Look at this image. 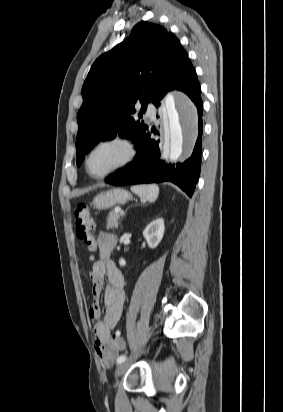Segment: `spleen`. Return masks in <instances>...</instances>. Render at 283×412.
Here are the masks:
<instances>
[{
    "label": "spleen",
    "instance_id": "obj_1",
    "mask_svg": "<svg viewBox=\"0 0 283 412\" xmlns=\"http://www.w3.org/2000/svg\"><path fill=\"white\" fill-rule=\"evenodd\" d=\"M131 191L137 194L141 200L154 202L159 195V187L155 184L135 185L131 187Z\"/></svg>",
    "mask_w": 283,
    "mask_h": 412
}]
</instances>
